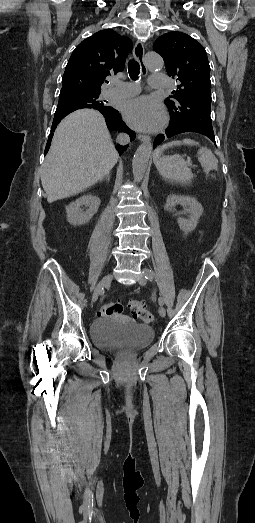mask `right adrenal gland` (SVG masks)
I'll return each instance as SVG.
<instances>
[{"instance_id": "right-adrenal-gland-1", "label": "right adrenal gland", "mask_w": 255, "mask_h": 523, "mask_svg": "<svg viewBox=\"0 0 255 523\" xmlns=\"http://www.w3.org/2000/svg\"><path fill=\"white\" fill-rule=\"evenodd\" d=\"M106 178L107 182H110V174H107V176H104Z\"/></svg>"}]
</instances>
